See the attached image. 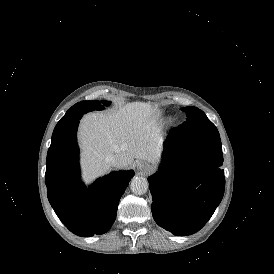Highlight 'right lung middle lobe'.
Returning <instances> with one entry per match:
<instances>
[{
    "label": "right lung middle lobe",
    "mask_w": 274,
    "mask_h": 274,
    "mask_svg": "<svg viewBox=\"0 0 274 274\" xmlns=\"http://www.w3.org/2000/svg\"><path fill=\"white\" fill-rule=\"evenodd\" d=\"M110 105L109 101L102 100L100 101H81L76 103L74 106H72L64 117L57 123L52 138L59 135L61 132H63L69 125L70 121L72 119V116L76 113L82 112L83 114L86 112H90L93 110H102L104 109V106Z\"/></svg>",
    "instance_id": "1"
}]
</instances>
